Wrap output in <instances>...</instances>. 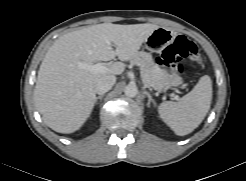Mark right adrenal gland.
Segmentation results:
<instances>
[{"label": "right adrenal gland", "instance_id": "1", "mask_svg": "<svg viewBox=\"0 0 246 181\" xmlns=\"http://www.w3.org/2000/svg\"><path fill=\"white\" fill-rule=\"evenodd\" d=\"M104 97V95H100L98 97L95 98V104L97 103L98 100H102V98Z\"/></svg>", "mask_w": 246, "mask_h": 181}]
</instances>
